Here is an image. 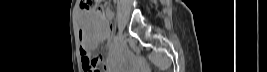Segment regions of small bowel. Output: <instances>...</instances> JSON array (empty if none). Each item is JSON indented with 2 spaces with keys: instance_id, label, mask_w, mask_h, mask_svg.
<instances>
[{
  "instance_id": "obj_1",
  "label": "small bowel",
  "mask_w": 267,
  "mask_h": 72,
  "mask_svg": "<svg viewBox=\"0 0 267 72\" xmlns=\"http://www.w3.org/2000/svg\"><path fill=\"white\" fill-rule=\"evenodd\" d=\"M111 13H112V11L109 10L108 11L109 17L111 16ZM88 23L94 29V43H96L97 41L103 40L105 38L107 30L109 28L107 30H101L99 28V24H98L97 20H92L90 18H88ZM108 49L110 52H112V50H113L112 45L109 44ZM87 57H88V54H87L86 50L82 49L81 50V60H82L83 66L87 65ZM106 70L109 71V68L106 67Z\"/></svg>"
}]
</instances>
